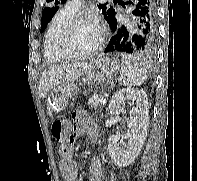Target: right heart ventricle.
I'll return each mask as SVG.
<instances>
[{"label":"right heart ventricle","instance_id":"obj_1","mask_svg":"<svg viewBox=\"0 0 197 181\" xmlns=\"http://www.w3.org/2000/svg\"><path fill=\"white\" fill-rule=\"evenodd\" d=\"M74 13L63 7L52 18L47 28L44 39V57L49 63H59L66 59L60 54L57 48V40L63 27L67 22L76 16Z\"/></svg>","mask_w":197,"mask_h":181}]
</instances>
